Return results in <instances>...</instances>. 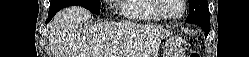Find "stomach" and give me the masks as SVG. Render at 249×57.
<instances>
[{"mask_svg":"<svg viewBox=\"0 0 249 57\" xmlns=\"http://www.w3.org/2000/svg\"><path fill=\"white\" fill-rule=\"evenodd\" d=\"M167 45L166 56L163 57H182L184 51L182 39H170L167 41Z\"/></svg>","mask_w":249,"mask_h":57,"instance_id":"stomach-1","label":"stomach"}]
</instances>
